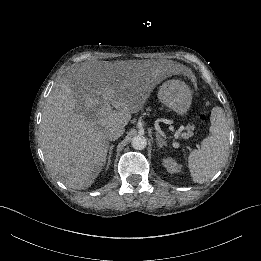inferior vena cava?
I'll list each match as a JSON object with an SVG mask.
<instances>
[{"label":"inferior vena cava","mask_w":261,"mask_h":261,"mask_svg":"<svg viewBox=\"0 0 261 261\" xmlns=\"http://www.w3.org/2000/svg\"><path fill=\"white\" fill-rule=\"evenodd\" d=\"M123 133H124V128L116 127L107 133V137H108V139L114 141V140L118 139L119 137H121L123 135Z\"/></svg>","instance_id":"602c4592"}]
</instances>
